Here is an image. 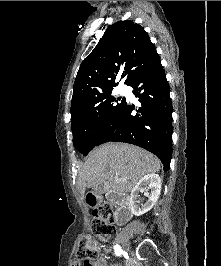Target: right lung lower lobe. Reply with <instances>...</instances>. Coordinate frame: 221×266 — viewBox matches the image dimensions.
<instances>
[{"mask_svg": "<svg viewBox=\"0 0 221 266\" xmlns=\"http://www.w3.org/2000/svg\"><path fill=\"white\" fill-rule=\"evenodd\" d=\"M141 107L126 102L113 124L100 137L97 145L115 141L142 147L170 167L172 157V102L170 88L161 61L138 74L129 84ZM96 145V146H97Z\"/></svg>", "mask_w": 221, "mask_h": 266, "instance_id": "1", "label": "right lung lower lobe"}]
</instances>
